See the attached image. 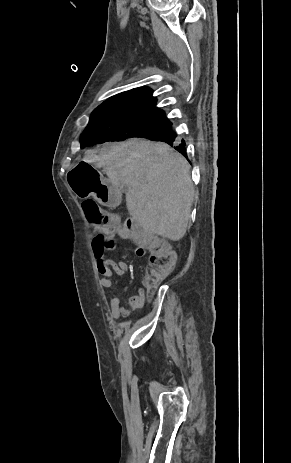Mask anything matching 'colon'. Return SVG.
Masks as SVG:
<instances>
[{
  "label": "colon",
  "instance_id": "1",
  "mask_svg": "<svg viewBox=\"0 0 291 463\" xmlns=\"http://www.w3.org/2000/svg\"><path fill=\"white\" fill-rule=\"evenodd\" d=\"M84 213L93 231L101 234L120 235L132 240L142 251L149 252V266L146 286L151 291L174 268V250L156 240L148 231L132 219L121 221L113 213L103 209L95 200L86 199L82 203Z\"/></svg>",
  "mask_w": 291,
  "mask_h": 463
}]
</instances>
